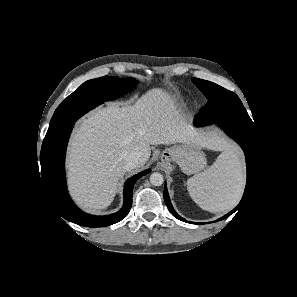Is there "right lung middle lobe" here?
<instances>
[{
  "label": "right lung middle lobe",
  "mask_w": 297,
  "mask_h": 297,
  "mask_svg": "<svg viewBox=\"0 0 297 297\" xmlns=\"http://www.w3.org/2000/svg\"><path fill=\"white\" fill-rule=\"evenodd\" d=\"M134 84L135 80L132 78L108 76L84 82L55 110L46 136L60 131L103 101L122 96Z\"/></svg>",
  "instance_id": "right-lung-middle-lobe-1"
}]
</instances>
